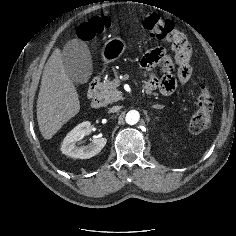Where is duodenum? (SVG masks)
Returning a JSON list of instances; mask_svg holds the SVG:
<instances>
[{
	"label": "duodenum",
	"mask_w": 236,
	"mask_h": 236,
	"mask_svg": "<svg viewBox=\"0 0 236 236\" xmlns=\"http://www.w3.org/2000/svg\"><path fill=\"white\" fill-rule=\"evenodd\" d=\"M99 79L95 78L89 86L88 97L92 108H99L101 106V97L98 91Z\"/></svg>",
	"instance_id": "duodenum-1"
}]
</instances>
